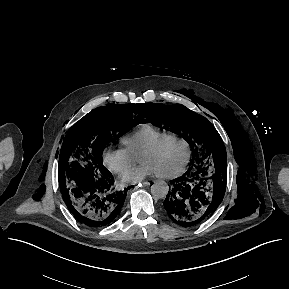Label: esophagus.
Segmentation results:
<instances>
[{
	"label": "esophagus",
	"mask_w": 289,
	"mask_h": 289,
	"mask_svg": "<svg viewBox=\"0 0 289 289\" xmlns=\"http://www.w3.org/2000/svg\"><path fill=\"white\" fill-rule=\"evenodd\" d=\"M141 186H149L150 182L148 181H142L141 183H139Z\"/></svg>",
	"instance_id": "34e87169"
}]
</instances>
